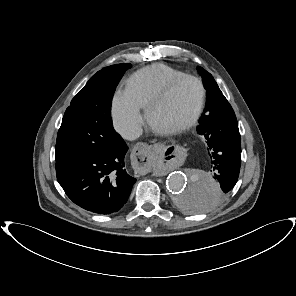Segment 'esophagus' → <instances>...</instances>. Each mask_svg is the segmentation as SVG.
<instances>
[{"label": "esophagus", "mask_w": 296, "mask_h": 296, "mask_svg": "<svg viewBox=\"0 0 296 296\" xmlns=\"http://www.w3.org/2000/svg\"><path fill=\"white\" fill-rule=\"evenodd\" d=\"M158 157L154 147L144 141L136 142L131 149L133 171L138 176H147Z\"/></svg>", "instance_id": "1"}]
</instances>
